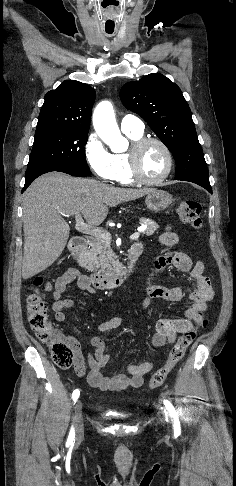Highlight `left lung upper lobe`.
<instances>
[{"instance_id": "5c2ea615", "label": "left lung upper lobe", "mask_w": 236, "mask_h": 486, "mask_svg": "<svg viewBox=\"0 0 236 486\" xmlns=\"http://www.w3.org/2000/svg\"><path fill=\"white\" fill-rule=\"evenodd\" d=\"M120 98L171 151L176 162L175 179L194 182L207 190L211 188L191 110L175 83L162 74L151 73L139 81L126 83Z\"/></svg>"}]
</instances>
